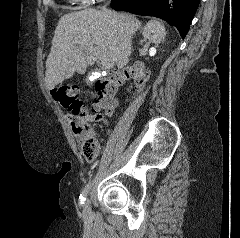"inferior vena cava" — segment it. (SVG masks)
Here are the masks:
<instances>
[{
	"mask_svg": "<svg viewBox=\"0 0 240 238\" xmlns=\"http://www.w3.org/2000/svg\"><path fill=\"white\" fill-rule=\"evenodd\" d=\"M109 1H107V3H108ZM107 5V4H106ZM106 5H104L103 7H102V13H104V14H109L110 12L107 10V8H106Z\"/></svg>",
	"mask_w": 240,
	"mask_h": 238,
	"instance_id": "inferior-vena-cava-1",
	"label": "inferior vena cava"
}]
</instances>
